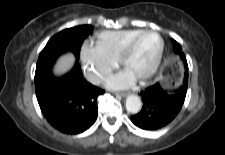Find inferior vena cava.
<instances>
[{
    "label": "inferior vena cava",
    "mask_w": 225,
    "mask_h": 155,
    "mask_svg": "<svg viewBox=\"0 0 225 155\" xmlns=\"http://www.w3.org/2000/svg\"><path fill=\"white\" fill-rule=\"evenodd\" d=\"M102 79H103V76L102 75H97V76H95L93 79H92V82L94 83V84H99L101 81H102Z\"/></svg>",
    "instance_id": "602c4592"
}]
</instances>
